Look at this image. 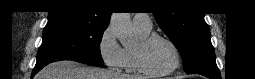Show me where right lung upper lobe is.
<instances>
[{"label":"right lung upper lobe","instance_id":"obj_1","mask_svg":"<svg viewBox=\"0 0 255 79\" xmlns=\"http://www.w3.org/2000/svg\"><path fill=\"white\" fill-rule=\"evenodd\" d=\"M55 3L53 10L49 12L48 23L62 21L106 28L108 26L111 12H101L105 5L99 0H62Z\"/></svg>","mask_w":255,"mask_h":79}]
</instances>
